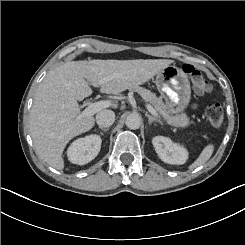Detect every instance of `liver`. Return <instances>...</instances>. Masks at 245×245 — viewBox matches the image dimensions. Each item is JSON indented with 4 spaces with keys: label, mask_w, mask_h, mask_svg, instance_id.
Segmentation results:
<instances>
[{
    "label": "liver",
    "mask_w": 245,
    "mask_h": 245,
    "mask_svg": "<svg viewBox=\"0 0 245 245\" xmlns=\"http://www.w3.org/2000/svg\"><path fill=\"white\" fill-rule=\"evenodd\" d=\"M166 59L79 60L50 70L41 82L31 108L29 128L37 154L50 166L63 168L61 153L74 136L92 128L77 102L92 93H118L141 84L171 63Z\"/></svg>",
    "instance_id": "liver-1"
}]
</instances>
